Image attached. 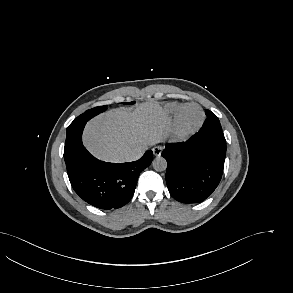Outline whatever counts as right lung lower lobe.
<instances>
[{"label":"right lung lower lobe","instance_id":"1","mask_svg":"<svg viewBox=\"0 0 293 293\" xmlns=\"http://www.w3.org/2000/svg\"><path fill=\"white\" fill-rule=\"evenodd\" d=\"M90 118L74 120L67 128L64 159L70 183L87 203L100 209H117L132 198L139 174L148 167L153 153L127 163H106L83 146L82 132Z\"/></svg>","mask_w":293,"mask_h":293}]
</instances>
